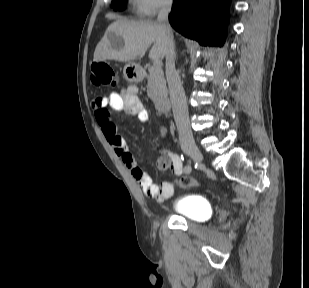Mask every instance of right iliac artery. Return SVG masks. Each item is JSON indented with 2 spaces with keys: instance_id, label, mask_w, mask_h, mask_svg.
<instances>
[{
  "instance_id": "obj_1",
  "label": "right iliac artery",
  "mask_w": 309,
  "mask_h": 288,
  "mask_svg": "<svg viewBox=\"0 0 309 288\" xmlns=\"http://www.w3.org/2000/svg\"><path fill=\"white\" fill-rule=\"evenodd\" d=\"M196 164H197V165H194V170H200V168L203 167V164L201 163L200 160H197V161H196Z\"/></svg>"
}]
</instances>
